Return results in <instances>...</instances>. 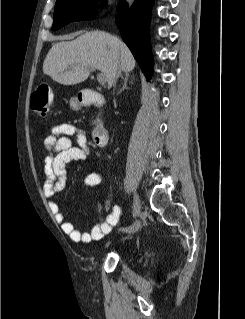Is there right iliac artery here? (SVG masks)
Returning a JSON list of instances; mask_svg holds the SVG:
<instances>
[{
	"mask_svg": "<svg viewBox=\"0 0 245 319\" xmlns=\"http://www.w3.org/2000/svg\"><path fill=\"white\" fill-rule=\"evenodd\" d=\"M136 222L139 223L138 221H136ZM120 231L126 232V233H132V232H134V227H133V225H131L129 227L120 229Z\"/></svg>",
	"mask_w": 245,
	"mask_h": 319,
	"instance_id": "82829eb1",
	"label": "right iliac artery"
}]
</instances>
